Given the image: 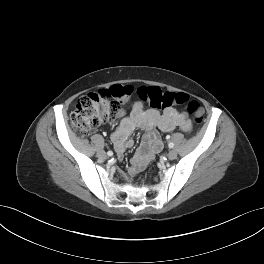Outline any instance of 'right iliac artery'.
I'll use <instances>...</instances> for the list:
<instances>
[{
  "label": "right iliac artery",
  "instance_id": "right-iliac-artery-1",
  "mask_svg": "<svg viewBox=\"0 0 264 264\" xmlns=\"http://www.w3.org/2000/svg\"><path fill=\"white\" fill-rule=\"evenodd\" d=\"M107 154H108V156H112L113 152L112 151H108Z\"/></svg>",
  "mask_w": 264,
  "mask_h": 264
}]
</instances>
